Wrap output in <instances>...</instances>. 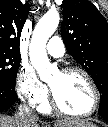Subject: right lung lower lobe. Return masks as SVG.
I'll return each mask as SVG.
<instances>
[{
    "label": "right lung lower lobe",
    "instance_id": "98d812e1",
    "mask_svg": "<svg viewBox=\"0 0 108 127\" xmlns=\"http://www.w3.org/2000/svg\"><path fill=\"white\" fill-rule=\"evenodd\" d=\"M16 100L17 94L14 87L0 83V111L9 108Z\"/></svg>",
    "mask_w": 108,
    "mask_h": 127
}]
</instances>
